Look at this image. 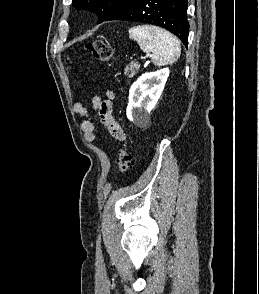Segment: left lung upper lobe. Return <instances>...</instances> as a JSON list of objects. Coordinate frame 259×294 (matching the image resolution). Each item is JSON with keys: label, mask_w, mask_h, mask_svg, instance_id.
I'll use <instances>...</instances> for the list:
<instances>
[{"label": "left lung upper lobe", "mask_w": 259, "mask_h": 294, "mask_svg": "<svg viewBox=\"0 0 259 294\" xmlns=\"http://www.w3.org/2000/svg\"><path fill=\"white\" fill-rule=\"evenodd\" d=\"M127 0H72V5L77 10H89L99 17L101 23L118 6Z\"/></svg>", "instance_id": "5c2ea615"}]
</instances>
